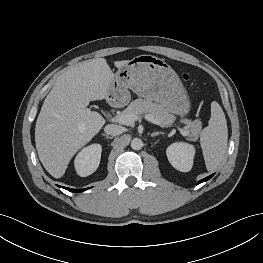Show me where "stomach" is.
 Returning <instances> with one entry per match:
<instances>
[{"mask_svg": "<svg viewBox=\"0 0 263 263\" xmlns=\"http://www.w3.org/2000/svg\"><path fill=\"white\" fill-rule=\"evenodd\" d=\"M129 89L181 117L191 109L189 96L176 72L163 59L152 55L136 56L118 69L109 95L126 102L130 97Z\"/></svg>", "mask_w": 263, "mask_h": 263, "instance_id": "0dacf381", "label": "stomach"}]
</instances>
